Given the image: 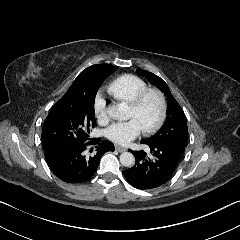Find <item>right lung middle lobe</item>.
Segmentation results:
<instances>
[{"instance_id": "dd1d6c3e", "label": "right lung middle lobe", "mask_w": 240, "mask_h": 240, "mask_svg": "<svg viewBox=\"0 0 240 240\" xmlns=\"http://www.w3.org/2000/svg\"><path fill=\"white\" fill-rule=\"evenodd\" d=\"M108 75L77 77L64 96L52 107L42 130L43 146L53 143H83L95 126L94 101Z\"/></svg>"}]
</instances>
